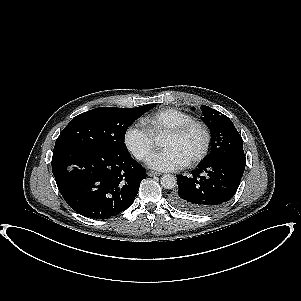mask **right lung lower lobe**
<instances>
[{
  "label": "right lung lower lobe",
  "mask_w": 301,
  "mask_h": 301,
  "mask_svg": "<svg viewBox=\"0 0 301 301\" xmlns=\"http://www.w3.org/2000/svg\"><path fill=\"white\" fill-rule=\"evenodd\" d=\"M52 171L60 193L77 213L107 219L134 201L145 169L128 152L78 146L53 152Z\"/></svg>",
  "instance_id": "1"
}]
</instances>
